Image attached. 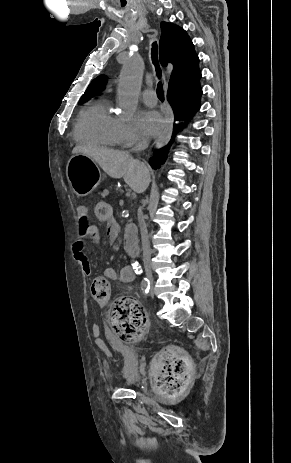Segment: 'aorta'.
Segmentation results:
<instances>
[{
  "label": "aorta",
  "mask_w": 291,
  "mask_h": 463,
  "mask_svg": "<svg viewBox=\"0 0 291 463\" xmlns=\"http://www.w3.org/2000/svg\"><path fill=\"white\" fill-rule=\"evenodd\" d=\"M143 71V60L137 55L129 57L122 67L118 84V100L124 119H131L136 112ZM133 267L137 273H141L137 262L133 263Z\"/></svg>",
  "instance_id": "obj_1"
}]
</instances>
